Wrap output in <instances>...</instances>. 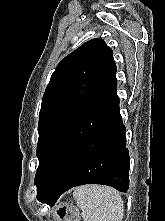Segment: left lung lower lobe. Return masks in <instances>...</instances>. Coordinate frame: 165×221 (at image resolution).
Listing matches in <instances>:
<instances>
[{
    "label": "left lung lower lobe",
    "instance_id": "left-lung-lower-lobe-1",
    "mask_svg": "<svg viewBox=\"0 0 165 221\" xmlns=\"http://www.w3.org/2000/svg\"><path fill=\"white\" fill-rule=\"evenodd\" d=\"M103 184L127 192L129 152L117 83L65 134L37 183V199L51 207L68 189Z\"/></svg>",
    "mask_w": 165,
    "mask_h": 221
}]
</instances>
